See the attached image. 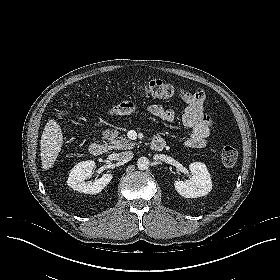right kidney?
<instances>
[{"mask_svg":"<svg viewBox=\"0 0 280 280\" xmlns=\"http://www.w3.org/2000/svg\"><path fill=\"white\" fill-rule=\"evenodd\" d=\"M95 162L92 160L82 161L76 164L68 177L67 185L73 190L85 194H97L101 192L112 180V174H103L101 178L92 181H85L92 175Z\"/></svg>","mask_w":280,"mask_h":280,"instance_id":"1","label":"right kidney"}]
</instances>
